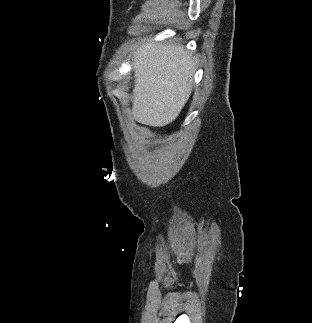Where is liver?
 Listing matches in <instances>:
<instances>
[{"mask_svg":"<svg viewBox=\"0 0 312 323\" xmlns=\"http://www.w3.org/2000/svg\"><path fill=\"white\" fill-rule=\"evenodd\" d=\"M133 68L134 120L155 128L174 122L194 88L195 62L189 52L184 46L145 38L133 52Z\"/></svg>","mask_w":312,"mask_h":323,"instance_id":"liver-1","label":"liver"}]
</instances>
